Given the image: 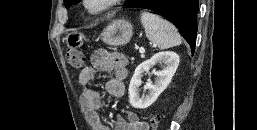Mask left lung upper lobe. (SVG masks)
<instances>
[{"label": "left lung upper lobe", "instance_id": "obj_1", "mask_svg": "<svg viewBox=\"0 0 257 130\" xmlns=\"http://www.w3.org/2000/svg\"><path fill=\"white\" fill-rule=\"evenodd\" d=\"M139 0H127L126 2H125V5H135V4H137V2H138ZM76 2H78V0H64V4H65V6H66V8L68 9L72 4H74V3H76Z\"/></svg>", "mask_w": 257, "mask_h": 130}]
</instances>
